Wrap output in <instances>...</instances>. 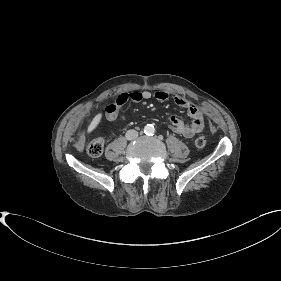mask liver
Segmentation results:
<instances>
[{"instance_id":"6515ba94","label":"liver","mask_w":281,"mask_h":281,"mask_svg":"<svg viewBox=\"0 0 281 281\" xmlns=\"http://www.w3.org/2000/svg\"><path fill=\"white\" fill-rule=\"evenodd\" d=\"M101 118H102V114L101 113H98L93 119L92 121L90 122L88 128H87V132L90 133L92 132L97 126L98 124L100 123L101 121Z\"/></svg>"}]
</instances>
